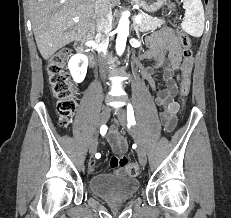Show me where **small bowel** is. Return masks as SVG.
<instances>
[{"instance_id": "c3829d8e", "label": "small bowel", "mask_w": 231, "mask_h": 218, "mask_svg": "<svg viewBox=\"0 0 231 218\" xmlns=\"http://www.w3.org/2000/svg\"><path fill=\"white\" fill-rule=\"evenodd\" d=\"M149 49L144 57L151 59V63L142 69V75L154 92V102L163 108L160 114L161 123L166 132H171L176 125V114L179 103L176 101L178 93L177 82L190 78L192 58L182 55L177 38L170 28H164L148 38ZM159 69H163V88L157 90L154 75ZM108 142L117 154L110 160V166L117 175H124L126 170L120 161L126 159L124 153L127 150L126 141L120 136L117 129H112L108 134ZM89 170L96 171V162H89Z\"/></svg>"}]
</instances>
